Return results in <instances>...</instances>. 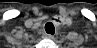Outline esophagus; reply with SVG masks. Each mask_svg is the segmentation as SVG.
Wrapping results in <instances>:
<instances>
[{
  "label": "esophagus",
  "instance_id": "1",
  "mask_svg": "<svg viewBox=\"0 0 97 48\" xmlns=\"http://www.w3.org/2000/svg\"><path fill=\"white\" fill-rule=\"evenodd\" d=\"M43 38L54 39V36L51 35V34L44 33V34H43Z\"/></svg>",
  "mask_w": 97,
  "mask_h": 48
}]
</instances>
